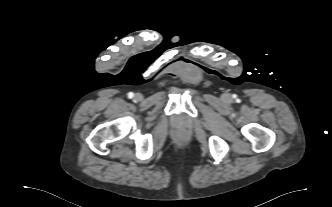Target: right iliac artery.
<instances>
[{"mask_svg": "<svg viewBox=\"0 0 332 207\" xmlns=\"http://www.w3.org/2000/svg\"><path fill=\"white\" fill-rule=\"evenodd\" d=\"M128 97H129V98H133V97H134V93H133V92H129V93H128Z\"/></svg>", "mask_w": 332, "mask_h": 207, "instance_id": "right-iliac-artery-1", "label": "right iliac artery"}]
</instances>
